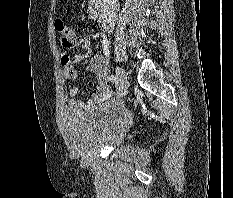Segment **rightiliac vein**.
<instances>
[{"mask_svg": "<svg viewBox=\"0 0 233 198\" xmlns=\"http://www.w3.org/2000/svg\"><path fill=\"white\" fill-rule=\"evenodd\" d=\"M116 75H117V85H118V90H119V96L123 97L127 94V91H128V75L120 67L116 68Z\"/></svg>", "mask_w": 233, "mask_h": 198, "instance_id": "63e3f726", "label": "right iliac vein"}]
</instances>
